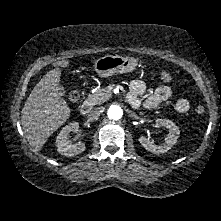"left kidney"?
Returning <instances> with one entry per match:
<instances>
[{
  "label": "left kidney",
  "instance_id": "5707ae66",
  "mask_svg": "<svg viewBox=\"0 0 221 221\" xmlns=\"http://www.w3.org/2000/svg\"><path fill=\"white\" fill-rule=\"evenodd\" d=\"M157 126H164L169 130L167 137L165 138V143L161 145H156L151 142L145 136L139 138L140 144L148 151L152 153H165L177 142L178 136L180 134L179 128L169 119H156Z\"/></svg>",
  "mask_w": 221,
  "mask_h": 221
}]
</instances>
